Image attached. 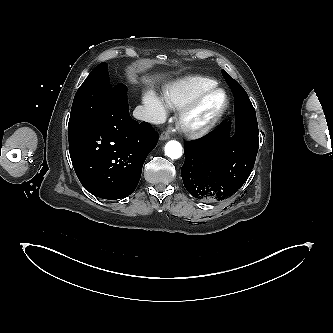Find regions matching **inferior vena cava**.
I'll list each match as a JSON object with an SVG mask.
<instances>
[{
    "mask_svg": "<svg viewBox=\"0 0 333 333\" xmlns=\"http://www.w3.org/2000/svg\"><path fill=\"white\" fill-rule=\"evenodd\" d=\"M133 116L141 121H147L150 123H158V118L155 114L144 106H137L133 111Z\"/></svg>",
    "mask_w": 333,
    "mask_h": 333,
    "instance_id": "obj_1",
    "label": "inferior vena cava"
}]
</instances>
